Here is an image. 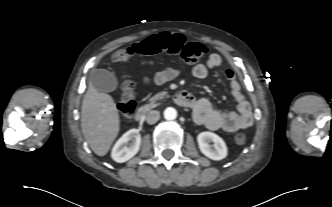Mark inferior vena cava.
I'll return each instance as SVG.
<instances>
[{"mask_svg": "<svg viewBox=\"0 0 332 207\" xmlns=\"http://www.w3.org/2000/svg\"><path fill=\"white\" fill-rule=\"evenodd\" d=\"M160 119L159 111L153 110L150 111L147 115L146 121L148 124H154Z\"/></svg>", "mask_w": 332, "mask_h": 207, "instance_id": "602c4592", "label": "inferior vena cava"}]
</instances>
